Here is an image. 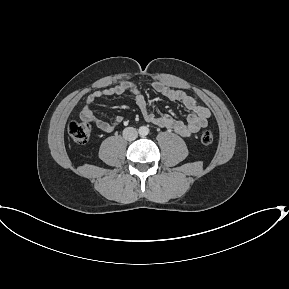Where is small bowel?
<instances>
[{"label": "small bowel", "mask_w": 289, "mask_h": 289, "mask_svg": "<svg viewBox=\"0 0 289 289\" xmlns=\"http://www.w3.org/2000/svg\"><path fill=\"white\" fill-rule=\"evenodd\" d=\"M153 90L160 95L168 98L173 102L183 105L191 113L188 115L186 121L177 120L169 115H157L148 106L144 95L141 93L138 85L132 81H122L119 84L103 90H97L89 94L86 98L84 106L80 110V116L86 121L94 123L99 129L104 132L111 133L115 127L123 123L122 116H117L112 122H106L95 117L92 112L91 105L97 100L108 96L121 95L129 93L145 121L153 123L161 128L173 130L180 136L191 137L200 129L208 124L211 112L208 107L204 106L199 100L179 89L168 87L160 82L151 84Z\"/></svg>", "instance_id": "obj_1"}]
</instances>
